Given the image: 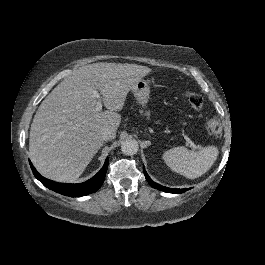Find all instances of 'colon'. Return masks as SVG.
Instances as JSON below:
<instances>
[{"instance_id": "colon-1", "label": "colon", "mask_w": 265, "mask_h": 265, "mask_svg": "<svg viewBox=\"0 0 265 265\" xmlns=\"http://www.w3.org/2000/svg\"><path fill=\"white\" fill-rule=\"evenodd\" d=\"M186 98L193 109L199 110L202 108L203 99L200 94L194 91H187ZM206 129L210 135L219 136L221 134V124L215 117L207 120Z\"/></svg>"}]
</instances>
